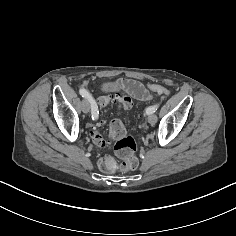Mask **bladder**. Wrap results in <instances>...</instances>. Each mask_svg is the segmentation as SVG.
<instances>
[{
    "instance_id": "bladder-1",
    "label": "bladder",
    "mask_w": 236,
    "mask_h": 236,
    "mask_svg": "<svg viewBox=\"0 0 236 236\" xmlns=\"http://www.w3.org/2000/svg\"><path fill=\"white\" fill-rule=\"evenodd\" d=\"M103 87L107 89V85L106 84H104Z\"/></svg>"
}]
</instances>
